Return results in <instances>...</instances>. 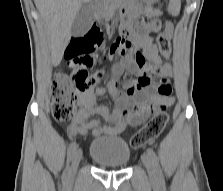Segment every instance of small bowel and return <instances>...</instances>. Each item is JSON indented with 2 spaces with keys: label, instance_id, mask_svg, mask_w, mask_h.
I'll return each instance as SVG.
<instances>
[{
  "label": "small bowel",
  "instance_id": "obj_1",
  "mask_svg": "<svg viewBox=\"0 0 223 191\" xmlns=\"http://www.w3.org/2000/svg\"><path fill=\"white\" fill-rule=\"evenodd\" d=\"M145 11L152 18L148 17L141 21L143 28L141 32H135L124 23L121 27V34L131 39L147 59L159 65V62L163 60L153 37L161 29V22L156 18L159 13L151 5H148ZM126 66L132 71H138L134 57L126 61ZM124 87L125 92H122L119 88V81L113 79L105 87H96L84 94H79L77 96L79 111L67 126V133L70 136L91 133L94 137L118 134L127 125L137 126L143 123L156 108L169 106L174 102L168 78L155 77L150 86L153 89L152 92L147 86H138L136 79L127 81ZM107 93L114 102L112 109L98 102V98ZM92 116L95 118L90 119Z\"/></svg>",
  "mask_w": 223,
  "mask_h": 191
}]
</instances>
